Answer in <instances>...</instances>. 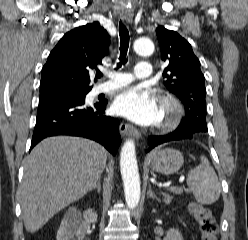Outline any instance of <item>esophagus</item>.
<instances>
[{"instance_id":"obj_1","label":"esophagus","mask_w":248,"mask_h":240,"mask_svg":"<svg viewBox=\"0 0 248 240\" xmlns=\"http://www.w3.org/2000/svg\"><path fill=\"white\" fill-rule=\"evenodd\" d=\"M122 18L126 22L131 23L132 18H133L132 10L131 9H123ZM119 130H120V133L123 135H131V136L135 137L136 139H139L141 137L140 132L136 128H134L132 125L124 123V122L120 123Z\"/></svg>"}]
</instances>
